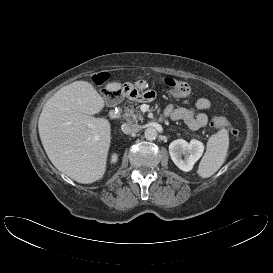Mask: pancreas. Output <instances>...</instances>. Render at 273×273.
Segmentation results:
<instances>
[{"label":"pancreas","mask_w":273,"mask_h":273,"mask_svg":"<svg viewBox=\"0 0 273 273\" xmlns=\"http://www.w3.org/2000/svg\"><path fill=\"white\" fill-rule=\"evenodd\" d=\"M123 116L129 122L137 123L138 121H143V116L138 106H136V108L134 105L126 107Z\"/></svg>","instance_id":"1"}]
</instances>
